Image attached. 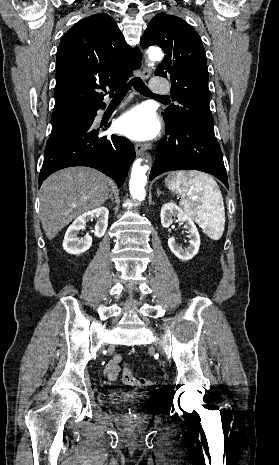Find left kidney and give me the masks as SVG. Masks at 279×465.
Instances as JSON below:
<instances>
[{
	"instance_id": "5707ae66",
	"label": "left kidney",
	"mask_w": 279,
	"mask_h": 465,
	"mask_svg": "<svg viewBox=\"0 0 279 465\" xmlns=\"http://www.w3.org/2000/svg\"><path fill=\"white\" fill-rule=\"evenodd\" d=\"M161 224L164 228L169 227L173 223V219L177 218L179 222L184 224V228L189 233V246L186 249L179 247L175 239H168V246L173 254L182 261L192 259L200 247V235L193 220L183 210L173 202L166 203L161 208Z\"/></svg>"
}]
</instances>
